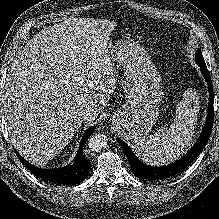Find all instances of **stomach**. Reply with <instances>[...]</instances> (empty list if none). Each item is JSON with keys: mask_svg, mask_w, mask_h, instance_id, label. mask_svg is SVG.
<instances>
[{"mask_svg": "<svg viewBox=\"0 0 219 219\" xmlns=\"http://www.w3.org/2000/svg\"><path fill=\"white\" fill-rule=\"evenodd\" d=\"M109 55L124 71L121 84L127 98L112 123L127 138L145 135L158 119L164 95L161 76L144 47L132 39L112 43Z\"/></svg>", "mask_w": 219, "mask_h": 219, "instance_id": "1", "label": "stomach"}]
</instances>
